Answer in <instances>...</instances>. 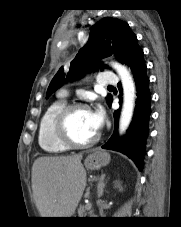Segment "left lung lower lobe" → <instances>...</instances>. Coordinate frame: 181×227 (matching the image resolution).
Returning <instances> with one entry per match:
<instances>
[{
    "instance_id": "left-lung-lower-lobe-1",
    "label": "left lung lower lobe",
    "mask_w": 181,
    "mask_h": 227,
    "mask_svg": "<svg viewBox=\"0 0 181 227\" xmlns=\"http://www.w3.org/2000/svg\"><path fill=\"white\" fill-rule=\"evenodd\" d=\"M125 63L130 67L136 84L137 100L134 116L126 135L119 138L117 129L120 110H116L114 112V133L102 148L119 151L127 155L135 162L139 170H142L145 144L149 134L148 121L151 114V93L149 91V79L146 74L143 50L138 44L131 49ZM111 103L112 101L109 105Z\"/></svg>"
}]
</instances>
